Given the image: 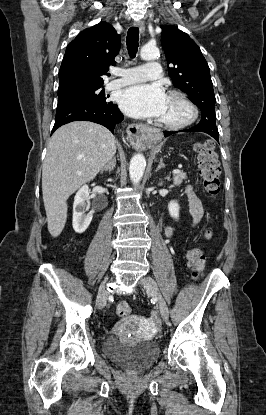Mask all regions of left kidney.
Masks as SVG:
<instances>
[{
  "instance_id": "obj_1",
  "label": "left kidney",
  "mask_w": 266,
  "mask_h": 415,
  "mask_svg": "<svg viewBox=\"0 0 266 415\" xmlns=\"http://www.w3.org/2000/svg\"><path fill=\"white\" fill-rule=\"evenodd\" d=\"M169 214L172 218L178 219L179 218V204L177 201H171L168 204Z\"/></svg>"
}]
</instances>
